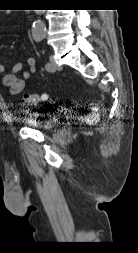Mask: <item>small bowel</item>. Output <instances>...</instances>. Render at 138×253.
<instances>
[{
	"label": "small bowel",
	"instance_id": "obj_1",
	"mask_svg": "<svg viewBox=\"0 0 138 253\" xmlns=\"http://www.w3.org/2000/svg\"><path fill=\"white\" fill-rule=\"evenodd\" d=\"M27 68L24 69L22 62L13 65L10 71H6L3 64L0 63V74L2 75V84L8 89L10 95L20 94L24 88L26 81L36 71V61L33 57L26 60ZM22 71V75L18 73Z\"/></svg>",
	"mask_w": 138,
	"mask_h": 253
}]
</instances>
